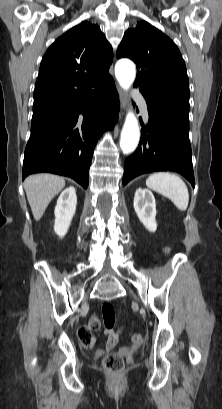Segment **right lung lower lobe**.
Returning a JSON list of instances; mask_svg holds the SVG:
<instances>
[{"label": "right lung lower lobe", "instance_id": "1", "mask_svg": "<svg viewBox=\"0 0 222 409\" xmlns=\"http://www.w3.org/2000/svg\"><path fill=\"white\" fill-rule=\"evenodd\" d=\"M119 106L114 81L107 76L80 97L33 109L22 179L50 172L71 177L87 188L97 140L117 122Z\"/></svg>", "mask_w": 222, "mask_h": 409}]
</instances>
